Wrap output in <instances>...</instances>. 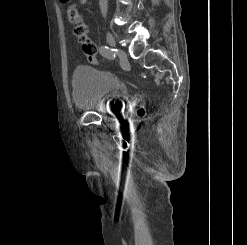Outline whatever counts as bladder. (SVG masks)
I'll return each instance as SVG.
<instances>
[{"mask_svg": "<svg viewBox=\"0 0 247 245\" xmlns=\"http://www.w3.org/2000/svg\"><path fill=\"white\" fill-rule=\"evenodd\" d=\"M131 93L128 81L92 66L77 67L72 76V100L82 110L118 112Z\"/></svg>", "mask_w": 247, "mask_h": 245, "instance_id": "bladder-1", "label": "bladder"}]
</instances>
